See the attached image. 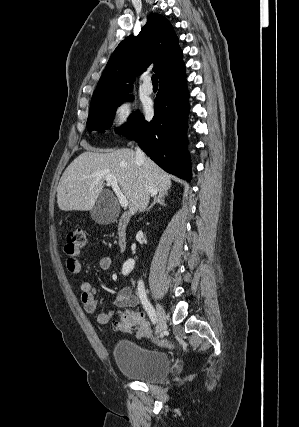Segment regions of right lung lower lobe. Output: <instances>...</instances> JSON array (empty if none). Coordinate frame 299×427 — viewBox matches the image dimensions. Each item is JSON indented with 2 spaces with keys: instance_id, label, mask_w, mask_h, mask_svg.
<instances>
[{
  "instance_id": "right-lung-lower-lobe-1",
  "label": "right lung lower lobe",
  "mask_w": 299,
  "mask_h": 427,
  "mask_svg": "<svg viewBox=\"0 0 299 427\" xmlns=\"http://www.w3.org/2000/svg\"><path fill=\"white\" fill-rule=\"evenodd\" d=\"M155 99V114L150 122H140L126 132L140 148L162 169L180 178L191 179L187 152L188 91L185 71H179L159 81Z\"/></svg>"
}]
</instances>
